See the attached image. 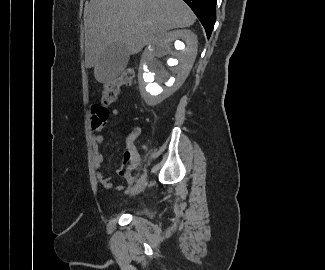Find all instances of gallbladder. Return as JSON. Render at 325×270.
I'll return each mask as SVG.
<instances>
[{"label":"gallbladder","instance_id":"bac80fb5","mask_svg":"<svg viewBox=\"0 0 325 270\" xmlns=\"http://www.w3.org/2000/svg\"><path fill=\"white\" fill-rule=\"evenodd\" d=\"M129 52L122 43L115 42L105 48L96 66L97 73L110 80L117 77L127 66Z\"/></svg>","mask_w":325,"mask_h":270}]
</instances>
